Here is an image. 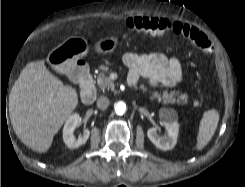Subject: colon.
<instances>
[{
    "label": "colon",
    "instance_id": "1",
    "mask_svg": "<svg viewBox=\"0 0 245 187\" xmlns=\"http://www.w3.org/2000/svg\"><path fill=\"white\" fill-rule=\"evenodd\" d=\"M125 24L132 31L148 33L153 36L171 34L183 42L198 48L206 55H211L213 52L206 34L189 24L148 16L130 17Z\"/></svg>",
    "mask_w": 245,
    "mask_h": 187
}]
</instances>
